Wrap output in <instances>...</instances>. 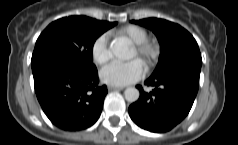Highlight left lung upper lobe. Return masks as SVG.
I'll return each instance as SVG.
<instances>
[{"mask_svg": "<svg viewBox=\"0 0 238 145\" xmlns=\"http://www.w3.org/2000/svg\"><path fill=\"white\" fill-rule=\"evenodd\" d=\"M131 22L152 30L160 43L159 61L152 76L188 66L201 67L202 58L197 42L180 25L157 18L132 20Z\"/></svg>", "mask_w": 238, "mask_h": 145, "instance_id": "obj_1", "label": "left lung upper lobe"}]
</instances>
